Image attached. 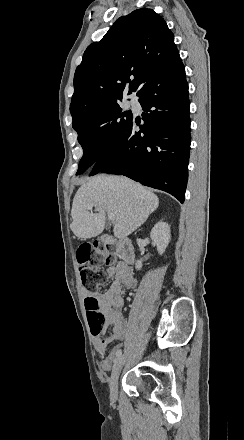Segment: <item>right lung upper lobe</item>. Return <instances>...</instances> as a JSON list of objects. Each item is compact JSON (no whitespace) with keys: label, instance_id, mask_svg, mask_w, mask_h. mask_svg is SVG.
Returning <instances> with one entry per match:
<instances>
[{"label":"right lung upper lobe","instance_id":"1","mask_svg":"<svg viewBox=\"0 0 244 440\" xmlns=\"http://www.w3.org/2000/svg\"><path fill=\"white\" fill-rule=\"evenodd\" d=\"M173 33L152 9L122 16L99 41L90 44L74 75L70 110L123 94L138 96L161 69L181 64ZM130 77H134L131 81Z\"/></svg>","mask_w":244,"mask_h":440}]
</instances>
